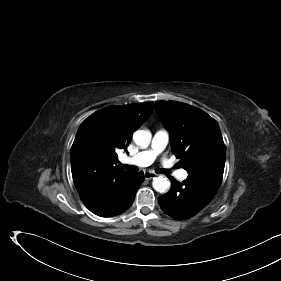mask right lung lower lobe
<instances>
[{
	"instance_id": "right-lung-lower-lobe-1",
	"label": "right lung lower lobe",
	"mask_w": 281,
	"mask_h": 281,
	"mask_svg": "<svg viewBox=\"0 0 281 281\" xmlns=\"http://www.w3.org/2000/svg\"><path fill=\"white\" fill-rule=\"evenodd\" d=\"M143 180V172L130 173L108 199L87 206L88 209L94 214L103 217H110L124 212L132 205L136 191Z\"/></svg>"
}]
</instances>
